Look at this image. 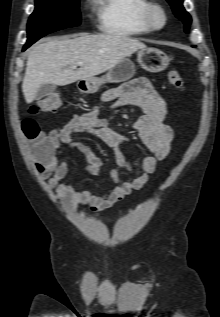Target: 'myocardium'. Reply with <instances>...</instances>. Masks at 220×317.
I'll return each instance as SVG.
<instances>
[{
	"label": "myocardium",
	"mask_w": 220,
	"mask_h": 317,
	"mask_svg": "<svg viewBox=\"0 0 220 317\" xmlns=\"http://www.w3.org/2000/svg\"><path fill=\"white\" fill-rule=\"evenodd\" d=\"M144 19L152 30H160L167 23V12L161 4L150 2L144 10Z\"/></svg>",
	"instance_id": "f54148a6"
}]
</instances>
